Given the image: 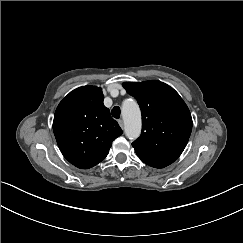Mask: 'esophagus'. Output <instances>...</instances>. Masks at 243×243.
<instances>
[{"label": "esophagus", "instance_id": "esophagus-1", "mask_svg": "<svg viewBox=\"0 0 243 243\" xmlns=\"http://www.w3.org/2000/svg\"><path fill=\"white\" fill-rule=\"evenodd\" d=\"M118 123H119V125H120L121 128L124 127V123H123V120H122V119H119V120H118Z\"/></svg>", "mask_w": 243, "mask_h": 243}]
</instances>
